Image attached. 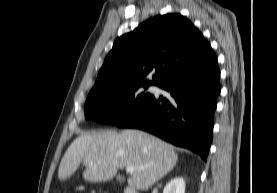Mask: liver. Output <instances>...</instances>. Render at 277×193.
<instances>
[{"instance_id":"6515ba94","label":"liver","mask_w":277,"mask_h":193,"mask_svg":"<svg viewBox=\"0 0 277 193\" xmlns=\"http://www.w3.org/2000/svg\"><path fill=\"white\" fill-rule=\"evenodd\" d=\"M177 161L172 145L140 130L89 132L71 143L60 162L58 178L71 177L81 163L86 167L83 178L91 182L110 180L119 168L133 166L128 185L145 191L173 170Z\"/></svg>"}]
</instances>
